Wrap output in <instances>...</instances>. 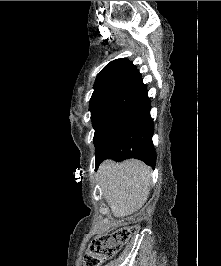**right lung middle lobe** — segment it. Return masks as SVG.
I'll list each match as a JSON object with an SVG mask.
<instances>
[{"mask_svg": "<svg viewBox=\"0 0 221 266\" xmlns=\"http://www.w3.org/2000/svg\"><path fill=\"white\" fill-rule=\"evenodd\" d=\"M143 90L138 86H120L92 94L89 110L93 123L95 151L109 136L135 98Z\"/></svg>", "mask_w": 221, "mask_h": 266, "instance_id": "1", "label": "right lung middle lobe"}]
</instances>
